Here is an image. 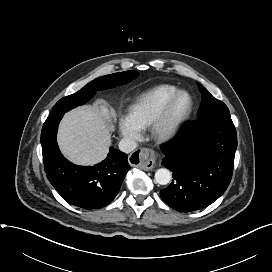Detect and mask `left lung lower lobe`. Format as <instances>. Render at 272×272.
<instances>
[{"mask_svg": "<svg viewBox=\"0 0 272 272\" xmlns=\"http://www.w3.org/2000/svg\"><path fill=\"white\" fill-rule=\"evenodd\" d=\"M237 134L230 113L198 119L162 147V165L173 172L160 191L172 208L190 212L207 207L227 189L233 172Z\"/></svg>", "mask_w": 272, "mask_h": 272, "instance_id": "obj_1", "label": "left lung lower lobe"}]
</instances>
